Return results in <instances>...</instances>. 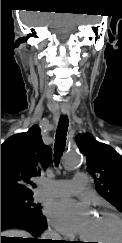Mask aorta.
I'll return each instance as SVG.
<instances>
[{
	"instance_id": "1",
	"label": "aorta",
	"mask_w": 122,
	"mask_h": 243,
	"mask_svg": "<svg viewBox=\"0 0 122 243\" xmlns=\"http://www.w3.org/2000/svg\"><path fill=\"white\" fill-rule=\"evenodd\" d=\"M81 156L76 151H69L64 155L63 166L66 170L71 171L77 169L81 164Z\"/></svg>"
}]
</instances>
